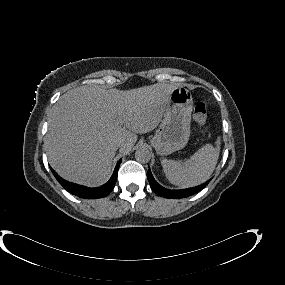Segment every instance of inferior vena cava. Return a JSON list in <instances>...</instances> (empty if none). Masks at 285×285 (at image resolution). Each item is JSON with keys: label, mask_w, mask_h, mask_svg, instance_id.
I'll list each match as a JSON object with an SVG mask.
<instances>
[{"label": "inferior vena cava", "mask_w": 285, "mask_h": 285, "mask_svg": "<svg viewBox=\"0 0 285 285\" xmlns=\"http://www.w3.org/2000/svg\"><path fill=\"white\" fill-rule=\"evenodd\" d=\"M123 146V143L122 142H118L117 144H116V148H121Z\"/></svg>", "instance_id": "1"}]
</instances>
